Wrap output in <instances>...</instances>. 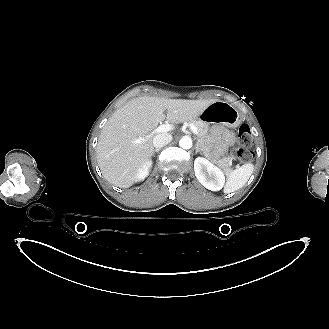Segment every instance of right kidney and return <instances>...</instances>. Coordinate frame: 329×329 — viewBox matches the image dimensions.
I'll return each instance as SVG.
<instances>
[{
  "label": "right kidney",
  "instance_id": "ca27d5eb",
  "mask_svg": "<svg viewBox=\"0 0 329 329\" xmlns=\"http://www.w3.org/2000/svg\"><path fill=\"white\" fill-rule=\"evenodd\" d=\"M151 166H152L151 161H147L145 163V165L139 170V172L137 174V181L144 180L145 177H147V175L149 174V170H150Z\"/></svg>",
  "mask_w": 329,
  "mask_h": 329
}]
</instances>
